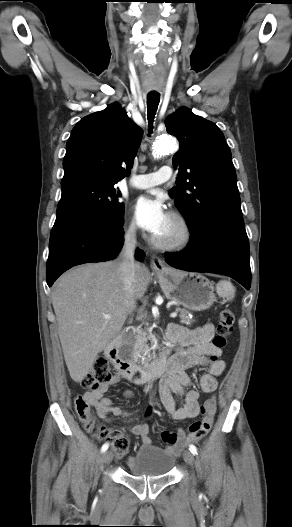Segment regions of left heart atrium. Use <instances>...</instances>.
Wrapping results in <instances>:
<instances>
[{
  "label": "left heart atrium",
  "instance_id": "39dd6f15",
  "mask_svg": "<svg viewBox=\"0 0 292 527\" xmlns=\"http://www.w3.org/2000/svg\"><path fill=\"white\" fill-rule=\"evenodd\" d=\"M136 223L152 235H157L166 225L169 215L159 199L139 197L133 205Z\"/></svg>",
  "mask_w": 292,
  "mask_h": 527
}]
</instances>
